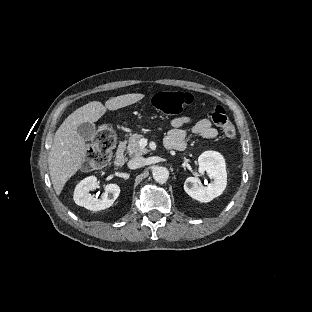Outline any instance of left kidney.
Segmentation results:
<instances>
[{"mask_svg":"<svg viewBox=\"0 0 312 312\" xmlns=\"http://www.w3.org/2000/svg\"><path fill=\"white\" fill-rule=\"evenodd\" d=\"M198 164V175L186 179L184 190L194 200L207 203L219 197L226 187L225 162L219 153L206 151L199 156ZM205 172L210 175L212 182L207 186L198 185L200 176H203Z\"/></svg>","mask_w":312,"mask_h":312,"instance_id":"obj_1","label":"left kidney"}]
</instances>
